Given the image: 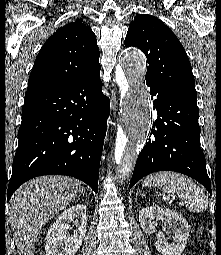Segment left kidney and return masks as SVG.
<instances>
[{"mask_svg":"<svg viewBox=\"0 0 221 255\" xmlns=\"http://www.w3.org/2000/svg\"><path fill=\"white\" fill-rule=\"evenodd\" d=\"M162 220L163 232L156 234V249L163 255H181L189 236L190 227L186 219L177 212L161 208L159 206H148L139 213L141 228L146 233H155L157 221ZM164 232L172 238L171 242L165 238Z\"/></svg>","mask_w":221,"mask_h":255,"instance_id":"obj_1","label":"left kidney"}]
</instances>
